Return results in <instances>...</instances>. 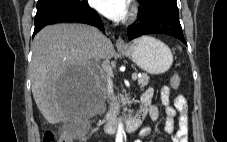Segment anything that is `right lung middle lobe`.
<instances>
[{
  "mask_svg": "<svg viewBox=\"0 0 227 142\" xmlns=\"http://www.w3.org/2000/svg\"><path fill=\"white\" fill-rule=\"evenodd\" d=\"M84 0H38L37 10L57 7V6H70L78 5Z\"/></svg>",
  "mask_w": 227,
  "mask_h": 142,
  "instance_id": "right-lung-middle-lobe-1",
  "label": "right lung middle lobe"
}]
</instances>
